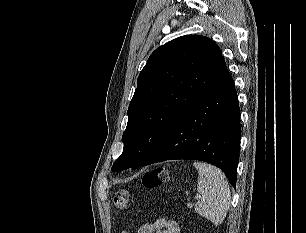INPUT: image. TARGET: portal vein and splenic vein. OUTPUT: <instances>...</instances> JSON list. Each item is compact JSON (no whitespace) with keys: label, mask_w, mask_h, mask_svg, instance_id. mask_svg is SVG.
Segmentation results:
<instances>
[{"label":"portal vein and splenic vein","mask_w":306,"mask_h":233,"mask_svg":"<svg viewBox=\"0 0 306 233\" xmlns=\"http://www.w3.org/2000/svg\"><path fill=\"white\" fill-rule=\"evenodd\" d=\"M198 198H199V195H196V196H195V199H198Z\"/></svg>","instance_id":"portal-vein-and-splenic-vein-1"}]
</instances>
